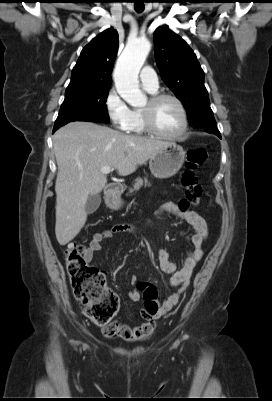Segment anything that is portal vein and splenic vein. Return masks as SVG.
I'll use <instances>...</instances> for the list:
<instances>
[{"instance_id": "1", "label": "portal vein and splenic vein", "mask_w": 272, "mask_h": 401, "mask_svg": "<svg viewBox=\"0 0 272 401\" xmlns=\"http://www.w3.org/2000/svg\"><path fill=\"white\" fill-rule=\"evenodd\" d=\"M113 170V168L109 167V166H105L101 169L103 174H109L111 171Z\"/></svg>"}]
</instances>
